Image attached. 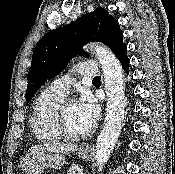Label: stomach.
Returning <instances> with one entry per match:
<instances>
[{"label":"stomach","mask_w":175,"mask_h":174,"mask_svg":"<svg viewBox=\"0 0 175 174\" xmlns=\"http://www.w3.org/2000/svg\"><path fill=\"white\" fill-rule=\"evenodd\" d=\"M78 155L83 160L91 157V151L86 147L78 150ZM66 163V158L61 153H46L39 151L27 155L22 164V168L26 174H42L48 167H61Z\"/></svg>","instance_id":"1"}]
</instances>
